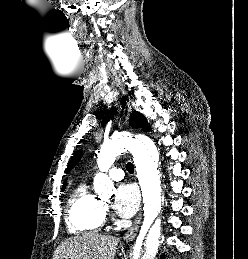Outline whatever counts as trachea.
<instances>
[{
  "mask_svg": "<svg viewBox=\"0 0 248 259\" xmlns=\"http://www.w3.org/2000/svg\"><path fill=\"white\" fill-rule=\"evenodd\" d=\"M126 169L129 173H133L134 172V166L131 162L127 163L126 165Z\"/></svg>",
  "mask_w": 248,
  "mask_h": 259,
  "instance_id": "3493384b",
  "label": "trachea"
}]
</instances>
